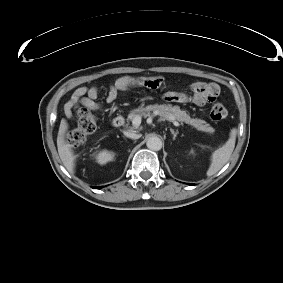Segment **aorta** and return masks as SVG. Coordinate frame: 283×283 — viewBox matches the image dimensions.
I'll use <instances>...</instances> for the list:
<instances>
[{
	"label": "aorta",
	"instance_id": "1",
	"mask_svg": "<svg viewBox=\"0 0 283 283\" xmlns=\"http://www.w3.org/2000/svg\"><path fill=\"white\" fill-rule=\"evenodd\" d=\"M146 145L150 150L159 151L162 148V141L158 136L153 135L147 139Z\"/></svg>",
	"mask_w": 283,
	"mask_h": 283
}]
</instances>
